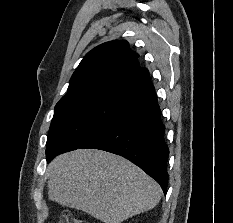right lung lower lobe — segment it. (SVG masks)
<instances>
[{
	"instance_id": "right-lung-lower-lobe-1",
	"label": "right lung lower lobe",
	"mask_w": 233,
	"mask_h": 223,
	"mask_svg": "<svg viewBox=\"0 0 233 223\" xmlns=\"http://www.w3.org/2000/svg\"><path fill=\"white\" fill-rule=\"evenodd\" d=\"M122 99L121 112L79 148L101 149L127 158L155 179L166 194L169 149L152 82L124 90ZM61 153L46 152L47 160Z\"/></svg>"
}]
</instances>
